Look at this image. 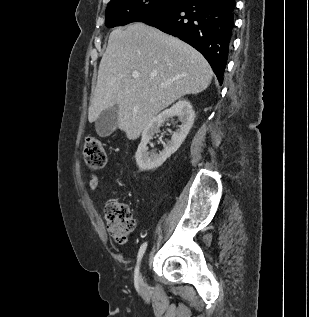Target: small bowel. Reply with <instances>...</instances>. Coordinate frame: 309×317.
I'll return each instance as SVG.
<instances>
[{
	"label": "small bowel",
	"instance_id": "obj_1",
	"mask_svg": "<svg viewBox=\"0 0 309 317\" xmlns=\"http://www.w3.org/2000/svg\"><path fill=\"white\" fill-rule=\"evenodd\" d=\"M99 186V178L96 174H91L89 179V187L92 191H95Z\"/></svg>",
	"mask_w": 309,
	"mask_h": 317
}]
</instances>
